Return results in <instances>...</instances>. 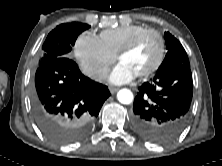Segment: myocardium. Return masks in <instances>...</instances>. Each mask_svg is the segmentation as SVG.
<instances>
[{"label":"myocardium","mask_w":222,"mask_h":166,"mask_svg":"<svg viewBox=\"0 0 222 166\" xmlns=\"http://www.w3.org/2000/svg\"><path fill=\"white\" fill-rule=\"evenodd\" d=\"M153 35L157 38L159 42V51H158V57L155 61V63L146 71L138 74V77L144 78L152 75L155 73L162 65L165 55H166V45L163 36L161 33L155 29H147L137 36H135L128 44H126L118 53H117V59L121 60V58L128 53L132 52L134 49L138 47V45L148 36Z\"/></svg>","instance_id":"myocardium-1"}]
</instances>
